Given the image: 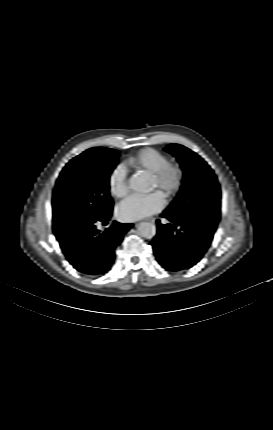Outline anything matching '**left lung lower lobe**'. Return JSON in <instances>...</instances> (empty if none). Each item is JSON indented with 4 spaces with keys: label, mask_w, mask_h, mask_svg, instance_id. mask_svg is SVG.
Returning a JSON list of instances; mask_svg holds the SVG:
<instances>
[{
    "label": "left lung lower lobe",
    "mask_w": 273,
    "mask_h": 430,
    "mask_svg": "<svg viewBox=\"0 0 273 430\" xmlns=\"http://www.w3.org/2000/svg\"><path fill=\"white\" fill-rule=\"evenodd\" d=\"M157 221V235L152 241L158 262L169 271L189 269L205 254L213 239L220 219V198L203 195L178 214L166 209Z\"/></svg>",
    "instance_id": "1"
}]
</instances>
